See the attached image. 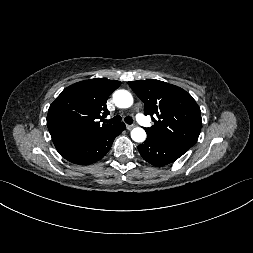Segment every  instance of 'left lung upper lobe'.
I'll return each instance as SVG.
<instances>
[{
    "mask_svg": "<svg viewBox=\"0 0 253 253\" xmlns=\"http://www.w3.org/2000/svg\"><path fill=\"white\" fill-rule=\"evenodd\" d=\"M128 84L144 102V114L150 115L154 121L152 127L145 128L148 135L188 148L195 145L202 122L200 108L188 92L153 79Z\"/></svg>",
    "mask_w": 253,
    "mask_h": 253,
    "instance_id": "left-lung-upper-lobe-1",
    "label": "left lung upper lobe"
}]
</instances>
